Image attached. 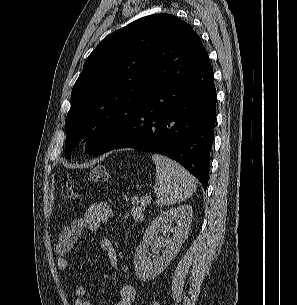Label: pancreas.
Here are the masks:
<instances>
[{
  "instance_id": "1",
  "label": "pancreas",
  "mask_w": 297,
  "mask_h": 305,
  "mask_svg": "<svg viewBox=\"0 0 297 305\" xmlns=\"http://www.w3.org/2000/svg\"><path fill=\"white\" fill-rule=\"evenodd\" d=\"M132 209L131 214L135 220H139L143 217V210L145 208V200L143 198L133 197L131 200Z\"/></svg>"
}]
</instances>
